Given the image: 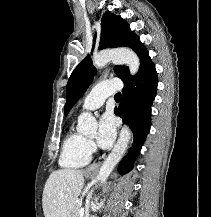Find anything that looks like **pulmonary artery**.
Here are the masks:
<instances>
[{
    "label": "pulmonary artery",
    "instance_id": "1",
    "mask_svg": "<svg viewBox=\"0 0 211 217\" xmlns=\"http://www.w3.org/2000/svg\"><path fill=\"white\" fill-rule=\"evenodd\" d=\"M122 82L113 78L101 81L93 86L81 105L80 111H91L101 107L106 98L122 89Z\"/></svg>",
    "mask_w": 211,
    "mask_h": 217
}]
</instances>
